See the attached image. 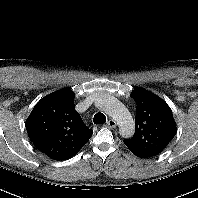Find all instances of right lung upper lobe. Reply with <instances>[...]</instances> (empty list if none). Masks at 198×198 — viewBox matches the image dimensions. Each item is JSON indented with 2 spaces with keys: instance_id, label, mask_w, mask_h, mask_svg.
Here are the masks:
<instances>
[{
  "instance_id": "obj_1",
  "label": "right lung upper lobe",
  "mask_w": 198,
  "mask_h": 198,
  "mask_svg": "<svg viewBox=\"0 0 198 198\" xmlns=\"http://www.w3.org/2000/svg\"><path fill=\"white\" fill-rule=\"evenodd\" d=\"M74 97L70 89L55 91L42 98L26 120L35 147L55 160L75 155L93 134L75 110Z\"/></svg>"
}]
</instances>
